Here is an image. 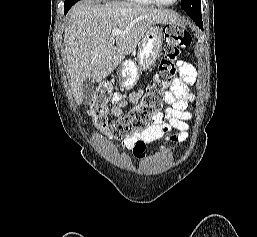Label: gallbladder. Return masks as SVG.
Returning <instances> with one entry per match:
<instances>
[{
    "label": "gallbladder",
    "instance_id": "obj_1",
    "mask_svg": "<svg viewBox=\"0 0 257 237\" xmlns=\"http://www.w3.org/2000/svg\"><path fill=\"white\" fill-rule=\"evenodd\" d=\"M94 89V79L92 77H87L82 85L83 99L85 102H89L93 95Z\"/></svg>",
    "mask_w": 257,
    "mask_h": 237
}]
</instances>
